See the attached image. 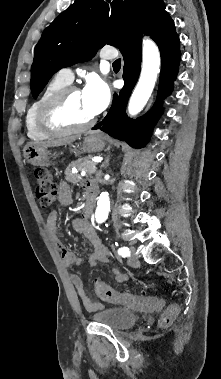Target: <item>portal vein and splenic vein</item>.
<instances>
[{"instance_id": "18ae733b", "label": "portal vein and splenic vein", "mask_w": 221, "mask_h": 379, "mask_svg": "<svg viewBox=\"0 0 221 379\" xmlns=\"http://www.w3.org/2000/svg\"><path fill=\"white\" fill-rule=\"evenodd\" d=\"M93 162H95V163H99V162H101V160H93ZM95 171H96V167L93 168L92 172H95ZM81 175H85V171H83V172L81 173Z\"/></svg>"}]
</instances>
